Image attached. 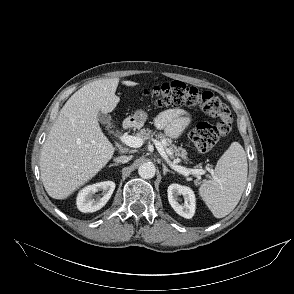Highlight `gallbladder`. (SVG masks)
Returning <instances> with one entry per match:
<instances>
[{
  "mask_svg": "<svg viewBox=\"0 0 294 294\" xmlns=\"http://www.w3.org/2000/svg\"><path fill=\"white\" fill-rule=\"evenodd\" d=\"M98 119L103 124H110L112 121L110 115L101 112L98 114Z\"/></svg>",
  "mask_w": 294,
  "mask_h": 294,
  "instance_id": "gallbladder-1",
  "label": "gallbladder"
}]
</instances>
